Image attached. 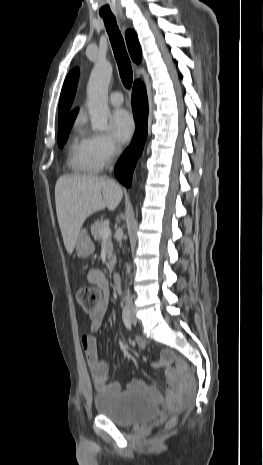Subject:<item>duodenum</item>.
I'll use <instances>...</instances> for the list:
<instances>
[{
  "label": "duodenum",
  "mask_w": 263,
  "mask_h": 465,
  "mask_svg": "<svg viewBox=\"0 0 263 465\" xmlns=\"http://www.w3.org/2000/svg\"><path fill=\"white\" fill-rule=\"evenodd\" d=\"M113 283L117 292H121V278L119 274H113Z\"/></svg>",
  "instance_id": "410a0bca"
}]
</instances>
